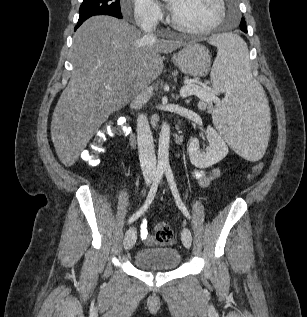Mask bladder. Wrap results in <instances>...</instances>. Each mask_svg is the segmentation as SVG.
Here are the masks:
<instances>
[{
	"instance_id": "31cf9c89",
	"label": "bladder",
	"mask_w": 307,
	"mask_h": 317,
	"mask_svg": "<svg viewBox=\"0 0 307 317\" xmlns=\"http://www.w3.org/2000/svg\"><path fill=\"white\" fill-rule=\"evenodd\" d=\"M180 261L181 256L174 248H143L134 256L135 266L148 272L172 271L179 265Z\"/></svg>"
}]
</instances>
